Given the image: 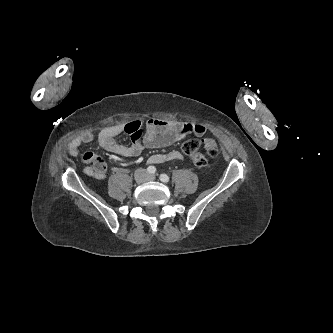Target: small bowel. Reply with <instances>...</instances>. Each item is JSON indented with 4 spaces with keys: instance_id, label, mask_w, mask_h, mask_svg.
<instances>
[{
    "instance_id": "small-bowel-1",
    "label": "small bowel",
    "mask_w": 333,
    "mask_h": 333,
    "mask_svg": "<svg viewBox=\"0 0 333 333\" xmlns=\"http://www.w3.org/2000/svg\"><path fill=\"white\" fill-rule=\"evenodd\" d=\"M127 133L132 138L130 145H122L116 141V136ZM189 133L204 137L205 147L214 145L212 138L206 137V128L197 123L182 122L177 120H163L159 118L147 121L133 120L126 124H116L103 128L96 137L92 132H86L73 139L68 147L71 156H78L83 145L91 144L96 139L99 145L114 154L122 157L138 156L144 147L160 148L170 145ZM182 154L177 150L167 153L154 154L149 158L151 164L181 160ZM86 164L85 173L96 179H103L106 174L104 163L98 160L92 153L87 152L82 157Z\"/></svg>"
}]
</instances>
